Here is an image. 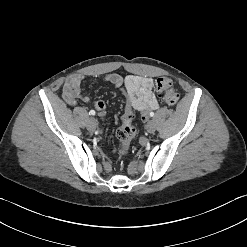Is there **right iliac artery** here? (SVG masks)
<instances>
[{"instance_id":"1","label":"right iliac artery","mask_w":247,"mask_h":247,"mask_svg":"<svg viewBox=\"0 0 247 247\" xmlns=\"http://www.w3.org/2000/svg\"><path fill=\"white\" fill-rule=\"evenodd\" d=\"M90 115H95L96 114V112L94 111V110H90Z\"/></svg>"}]
</instances>
